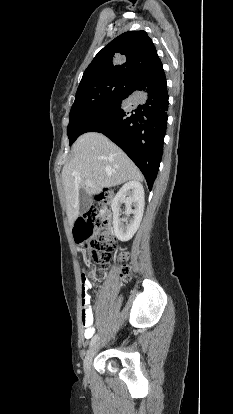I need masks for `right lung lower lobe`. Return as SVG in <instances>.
<instances>
[{
    "mask_svg": "<svg viewBox=\"0 0 233 414\" xmlns=\"http://www.w3.org/2000/svg\"><path fill=\"white\" fill-rule=\"evenodd\" d=\"M168 92L164 71L131 81L123 96L88 118L79 135L100 132L139 167L149 189L157 176L167 126Z\"/></svg>",
    "mask_w": 233,
    "mask_h": 414,
    "instance_id": "right-lung-lower-lobe-1",
    "label": "right lung lower lobe"
}]
</instances>
